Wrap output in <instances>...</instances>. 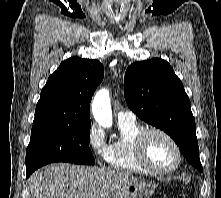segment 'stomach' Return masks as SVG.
I'll return each mask as SVG.
<instances>
[{
    "instance_id": "stomach-1",
    "label": "stomach",
    "mask_w": 221,
    "mask_h": 198,
    "mask_svg": "<svg viewBox=\"0 0 221 198\" xmlns=\"http://www.w3.org/2000/svg\"><path fill=\"white\" fill-rule=\"evenodd\" d=\"M155 190L152 182L144 179H133L123 183L106 198H149Z\"/></svg>"
}]
</instances>
